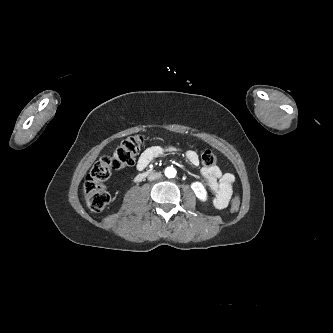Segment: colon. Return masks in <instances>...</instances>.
I'll return each instance as SVG.
<instances>
[{
  "mask_svg": "<svg viewBox=\"0 0 333 333\" xmlns=\"http://www.w3.org/2000/svg\"><path fill=\"white\" fill-rule=\"evenodd\" d=\"M144 139L135 135L123 140L112 155L103 156L87 175L84 182V194L87 205L94 212L102 211L109 203L110 196L103 182L108 179L112 170L131 166L143 145ZM201 161L204 166H213L217 162L215 154L210 150L202 153ZM240 207V198L235 195L231 201L230 209L237 212Z\"/></svg>",
  "mask_w": 333,
  "mask_h": 333,
  "instance_id": "obj_1",
  "label": "colon"
}]
</instances>
